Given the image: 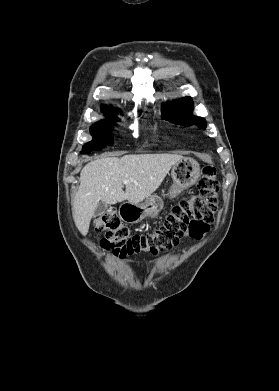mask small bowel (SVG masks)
<instances>
[{"mask_svg":"<svg viewBox=\"0 0 279 391\" xmlns=\"http://www.w3.org/2000/svg\"><path fill=\"white\" fill-rule=\"evenodd\" d=\"M185 235H189L190 236V234L188 232H186Z\"/></svg>","mask_w":279,"mask_h":391,"instance_id":"c3829d8e","label":"small bowel"}]
</instances>
